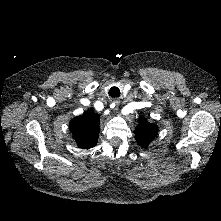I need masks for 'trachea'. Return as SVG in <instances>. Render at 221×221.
Instances as JSON below:
<instances>
[{"instance_id": "3493384b", "label": "trachea", "mask_w": 221, "mask_h": 221, "mask_svg": "<svg viewBox=\"0 0 221 221\" xmlns=\"http://www.w3.org/2000/svg\"><path fill=\"white\" fill-rule=\"evenodd\" d=\"M108 94L111 97H119L120 96V89L116 86H113L110 88Z\"/></svg>"}]
</instances>
